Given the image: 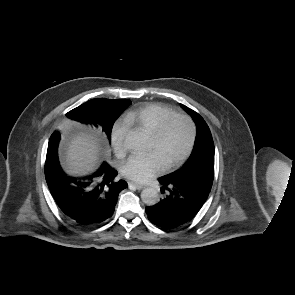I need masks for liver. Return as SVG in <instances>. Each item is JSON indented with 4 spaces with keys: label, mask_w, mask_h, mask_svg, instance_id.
Masks as SVG:
<instances>
[{
    "label": "liver",
    "mask_w": 295,
    "mask_h": 295,
    "mask_svg": "<svg viewBox=\"0 0 295 295\" xmlns=\"http://www.w3.org/2000/svg\"><path fill=\"white\" fill-rule=\"evenodd\" d=\"M99 160V147L90 136H77L68 147L64 165L71 174H87L95 169Z\"/></svg>",
    "instance_id": "liver-1"
}]
</instances>
